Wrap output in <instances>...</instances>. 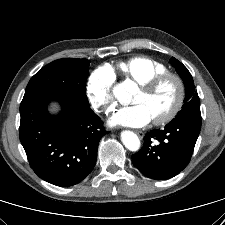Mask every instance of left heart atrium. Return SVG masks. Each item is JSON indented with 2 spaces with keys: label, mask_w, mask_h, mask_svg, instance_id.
Listing matches in <instances>:
<instances>
[{
  "label": "left heart atrium",
  "mask_w": 225,
  "mask_h": 225,
  "mask_svg": "<svg viewBox=\"0 0 225 225\" xmlns=\"http://www.w3.org/2000/svg\"><path fill=\"white\" fill-rule=\"evenodd\" d=\"M152 119L149 109L144 104H134L115 111L110 122L113 125L142 127Z\"/></svg>",
  "instance_id": "obj_1"
}]
</instances>
